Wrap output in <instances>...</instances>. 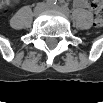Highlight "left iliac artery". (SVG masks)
<instances>
[{"mask_svg":"<svg viewBox=\"0 0 103 103\" xmlns=\"http://www.w3.org/2000/svg\"><path fill=\"white\" fill-rule=\"evenodd\" d=\"M61 9L65 14H70V10L66 5H62Z\"/></svg>","mask_w":103,"mask_h":103,"instance_id":"1","label":"left iliac artery"}]
</instances>
